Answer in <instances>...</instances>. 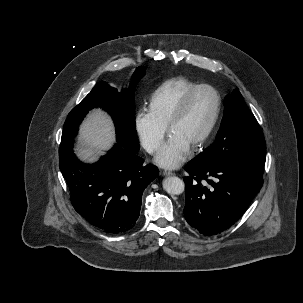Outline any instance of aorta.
<instances>
[{
    "label": "aorta",
    "instance_id": "aorta-1",
    "mask_svg": "<svg viewBox=\"0 0 303 303\" xmlns=\"http://www.w3.org/2000/svg\"><path fill=\"white\" fill-rule=\"evenodd\" d=\"M164 190L171 195H179L184 192V182L176 176L167 177L163 180Z\"/></svg>",
    "mask_w": 303,
    "mask_h": 303
}]
</instances>
